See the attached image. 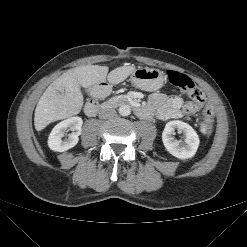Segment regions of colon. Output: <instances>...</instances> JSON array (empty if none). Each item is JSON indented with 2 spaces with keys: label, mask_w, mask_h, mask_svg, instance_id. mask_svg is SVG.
I'll list each match as a JSON object with an SVG mask.
<instances>
[{
  "label": "colon",
  "mask_w": 247,
  "mask_h": 247,
  "mask_svg": "<svg viewBox=\"0 0 247 247\" xmlns=\"http://www.w3.org/2000/svg\"><path fill=\"white\" fill-rule=\"evenodd\" d=\"M167 78L173 86L186 92L193 100L192 102H189L184 106V113L193 114L202 107L205 102V95L190 77L177 71L168 70ZM213 127L214 111L212 106L207 104L202 110L200 129L204 135L210 136L213 133Z\"/></svg>",
  "instance_id": "1"
}]
</instances>
